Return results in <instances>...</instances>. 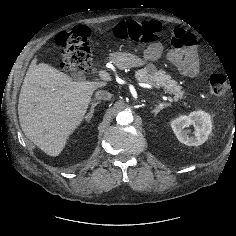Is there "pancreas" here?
<instances>
[{"label": "pancreas", "instance_id": "obj_1", "mask_svg": "<svg viewBox=\"0 0 236 236\" xmlns=\"http://www.w3.org/2000/svg\"><path fill=\"white\" fill-rule=\"evenodd\" d=\"M135 77L138 81L150 84L156 88L162 87L165 92L174 95V100L186 99L187 95L170 75L163 70H157L153 64H148L145 68L136 71Z\"/></svg>", "mask_w": 236, "mask_h": 236}]
</instances>
